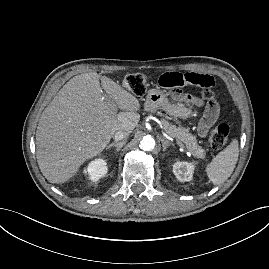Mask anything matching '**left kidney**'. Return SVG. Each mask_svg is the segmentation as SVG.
<instances>
[{
	"instance_id": "obj_1",
	"label": "left kidney",
	"mask_w": 269,
	"mask_h": 269,
	"mask_svg": "<svg viewBox=\"0 0 269 269\" xmlns=\"http://www.w3.org/2000/svg\"><path fill=\"white\" fill-rule=\"evenodd\" d=\"M194 169V162L177 161L173 164V173L180 182L191 181Z\"/></svg>"
}]
</instances>
